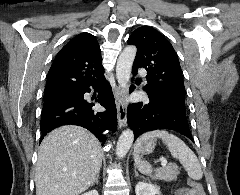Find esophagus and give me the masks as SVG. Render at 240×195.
<instances>
[{
  "label": "esophagus",
  "instance_id": "obj_1",
  "mask_svg": "<svg viewBox=\"0 0 240 195\" xmlns=\"http://www.w3.org/2000/svg\"><path fill=\"white\" fill-rule=\"evenodd\" d=\"M127 90L121 87L115 89V102L117 109L118 125L120 128L127 126Z\"/></svg>",
  "mask_w": 240,
  "mask_h": 195
}]
</instances>
